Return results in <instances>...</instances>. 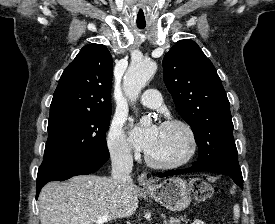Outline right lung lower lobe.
Returning <instances> with one entry per match:
<instances>
[{
	"mask_svg": "<svg viewBox=\"0 0 275 224\" xmlns=\"http://www.w3.org/2000/svg\"><path fill=\"white\" fill-rule=\"evenodd\" d=\"M109 158L108 149L77 156L43 160L37 175L36 198L41 188L50 181H64L72 176L87 175L97 171Z\"/></svg>",
	"mask_w": 275,
	"mask_h": 224,
	"instance_id": "98d812e1",
	"label": "right lung lower lobe"
}]
</instances>
